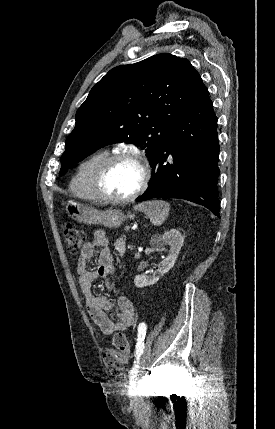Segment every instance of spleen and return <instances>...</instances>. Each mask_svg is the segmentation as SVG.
<instances>
[{
  "mask_svg": "<svg viewBox=\"0 0 275 429\" xmlns=\"http://www.w3.org/2000/svg\"><path fill=\"white\" fill-rule=\"evenodd\" d=\"M134 209L145 213L154 225L160 226L169 214L170 204L162 200H151L134 206Z\"/></svg>",
  "mask_w": 275,
  "mask_h": 429,
  "instance_id": "obj_1",
  "label": "spleen"
}]
</instances>
